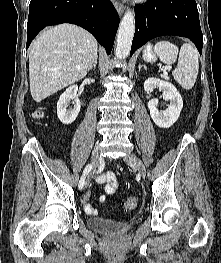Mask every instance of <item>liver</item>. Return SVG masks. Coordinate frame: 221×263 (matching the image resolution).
I'll use <instances>...</instances> for the list:
<instances>
[{
  "label": "liver",
  "instance_id": "1",
  "mask_svg": "<svg viewBox=\"0 0 221 263\" xmlns=\"http://www.w3.org/2000/svg\"><path fill=\"white\" fill-rule=\"evenodd\" d=\"M98 43L85 29L61 24L43 31L29 53L31 96L41 102L83 79L97 59Z\"/></svg>",
  "mask_w": 221,
  "mask_h": 263
}]
</instances>
